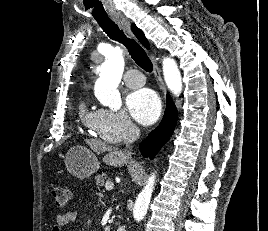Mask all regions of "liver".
<instances>
[{"label": "liver", "instance_id": "liver-1", "mask_svg": "<svg viewBox=\"0 0 268 231\" xmlns=\"http://www.w3.org/2000/svg\"><path fill=\"white\" fill-rule=\"evenodd\" d=\"M86 144L98 154L107 152L103 158V161L108 165L121 167L128 162V154L118 150L117 148L107 145L105 142L95 139H87Z\"/></svg>", "mask_w": 268, "mask_h": 231}]
</instances>
